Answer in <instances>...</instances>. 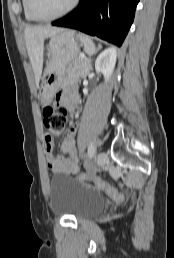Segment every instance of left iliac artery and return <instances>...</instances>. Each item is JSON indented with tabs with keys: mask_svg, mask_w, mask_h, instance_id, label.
I'll return each instance as SVG.
<instances>
[{
	"mask_svg": "<svg viewBox=\"0 0 174 258\" xmlns=\"http://www.w3.org/2000/svg\"><path fill=\"white\" fill-rule=\"evenodd\" d=\"M95 152H96V148H95L94 144L90 143L89 147H88V156L90 158H92L94 156Z\"/></svg>",
	"mask_w": 174,
	"mask_h": 258,
	"instance_id": "1",
	"label": "left iliac artery"
}]
</instances>
